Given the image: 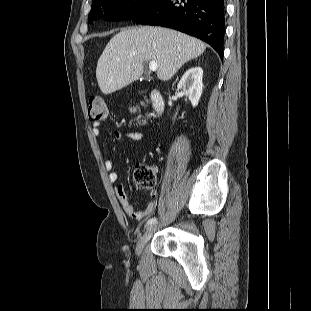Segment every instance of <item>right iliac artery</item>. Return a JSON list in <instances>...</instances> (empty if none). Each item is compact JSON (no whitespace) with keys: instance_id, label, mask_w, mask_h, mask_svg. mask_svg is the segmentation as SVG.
Segmentation results:
<instances>
[{"instance_id":"right-iliac-artery-1","label":"right iliac artery","mask_w":311,"mask_h":311,"mask_svg":"<svg viewBox=\"0 0 311 311\" xmlns=\"http://www.w3.org/2000/svg\"><path fill=\"white\" fill-rule=\"evenodd\" d=\"M156 221H157V219H156L155 217L150 218V219L147 221V224H146V225H147V226H150V225L156 223Z\"/></svg>"}]
</instances>
